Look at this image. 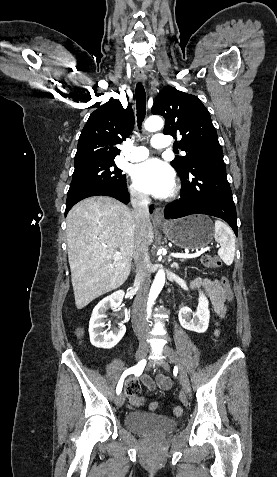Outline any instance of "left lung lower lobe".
<instances>
[{"mask_svg": "<svg viewBox=\"0 0 277 477\" xmlns=\"http://www.w3.org/2000/svg\"><path fill=\"white\" fill-rule=\"evenodd\" d=\"M179 176L182 181L180 199L165 207V218L207 214L225 220L237 236L236 209L223 153L205 154L194 159L188 171Z\"/></svg>", "mask_w": 277, "mask_h": 477, "instance_id": "left-lung-lower-lobe-1", "label": "left lung lower lobe"}]
</instances>
